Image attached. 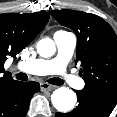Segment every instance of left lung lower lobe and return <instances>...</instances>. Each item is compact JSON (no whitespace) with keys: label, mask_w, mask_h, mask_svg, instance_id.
Here are the masks:
<instances>
[{"label":"left lung lower lobe","mask_w":117,"mask_h":117,"mask_svg":"<svg viewBox=\"0 0 117 117\" xmlns=\"http://www.w3.org/2000/svg\"><path fill=\"white\" fill-rule=\"evenodd\" d=\"M79 104L69 113L57 112L55 117H108L114 109L117 98L99 93L75 91Z\"/></svg>","instance_id":"1"}]
</instances>
